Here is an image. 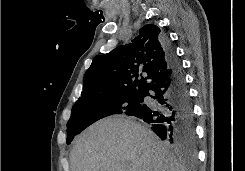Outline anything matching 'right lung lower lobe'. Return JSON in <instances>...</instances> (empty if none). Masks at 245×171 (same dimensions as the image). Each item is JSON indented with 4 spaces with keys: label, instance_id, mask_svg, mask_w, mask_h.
Segmentation results:
<instances>
[{
    "label": "right lung lower lobe",
    "instance_id": "1",
    "mask_svg": "<svg viewBox=\"0 0 245 171\" xmlns=\"http://www.w3.org/2000/svg\"><path fill=\"white\" fill-rule=\"evenodd\" d=\"M163 46L170 74L142 94L143 98L150 97L153 103L142 104L132 115L151 124L152 130L162 140L194 149V114L183 69L174 48L164 37Z\"/></svg>",
    "mask_w": 245,
    "mask_h": 171
}]
</instances>
